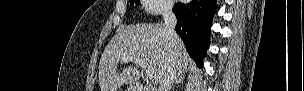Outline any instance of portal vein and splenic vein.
Listing matches in <instances>:
<instances>
[{
	"label": "portal vein and splenic vein",
	"instance_id": "1",
	"mask_svg": "<svg viewBox=\"0 0 304 91\" xmlns=\"http://www.w3.org/2000/svg\"><path fill=\"white\" fill-rule=\"evenodd\" d=\"M122 60H123V62H128V61L135 62L141 68L145 69L147 78H149L150 80H152L153 76H152V74L149 72V70L147 68V63L143 59L127 56V57H124Z\"/></svg>",
	"mask_w": 304,
	"mask_h": 91
}]
</instances>
